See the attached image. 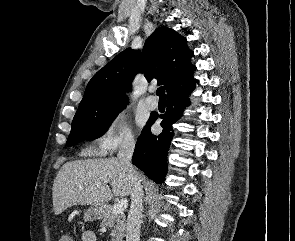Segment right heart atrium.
Masks as SVG:
<instances>
[{
	"label": "right heart atrium",
	"mask_w": 295,
	"mask_h": 241,
	"mask_svg": "<svg viewBox=\"0 0 295 241\" xmlns=\"http://www.w3.org/2000/svg\"><path fill=\"white\" fill-rule=\"evenodd\" d=\"M133 143L134 137L127 117L121 112L105 120L96 139L97 148L102 154H112L119 146H129Z\"/></svg>",
	"instance_id": "d8ad5b80"
}]
</instances>
